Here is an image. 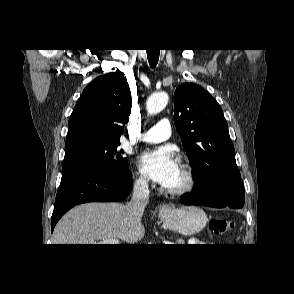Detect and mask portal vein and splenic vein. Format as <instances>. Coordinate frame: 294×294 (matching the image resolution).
<instances>
[{
    "instance_id": "18ae733b",
    "label": "portal vein and splenic vein",
    "mask_w": 294,
    "mask_h": 294,
    "mask_svg": "<svg viewBox=\"0 0 294 294\" xmlns=\"http://www.w3.org/2000/svg\"><path fill=\"white\" fill-rule=\"evenodd\" d=\"M98 244L114 245V244H119V240L114 238H106V239H102L100 242H98Z\"/></svg>"
}]
</instances>
